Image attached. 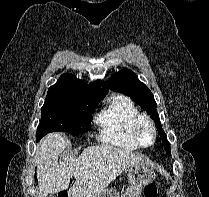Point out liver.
I'll list each match as a JSON object with an SVG mask.
<instances>
[{
  "label": "liver",
  "instance_id": "liver-1",
  "mask_svg": "<svg viewBox=\"0 0 209 197\" xmlns=\"http://www.w3.org/2000/svg\"><path fill=\"white\" fill-rule=\"evenodd\" d=\"M69 145L70 140L60 132L50 133L39 142L35 158L38 197L67 190L72 176L75 183L68 191L69 197H96L125 169L144 161L132 152L101 144L84 149L78 157L58 162Z\"/></svg>",
  "mask_w": 209,
  "mask_h": 197
}]
</instances>
